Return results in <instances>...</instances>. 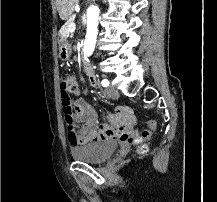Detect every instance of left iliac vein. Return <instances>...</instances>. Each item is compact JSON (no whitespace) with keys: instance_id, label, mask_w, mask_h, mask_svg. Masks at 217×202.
I'll return each instance as SVG.
<instances>
[{"instance_id":"left-iliac-vein-1","label":"left iliac vein","mask_w":217,"mask_h":202,"mask_svg":"<svg viewBox=\"0 0 217 202\" xmlns=\"http://www.w3.org/2000/svg\"><path fill=\"white\" fill-rule=\"evenodd\" d=\"M106 94L109 98H117L119 96L118 91L113 87V86H109L108 88H106Z\"/></svg>"}]
</instances>
